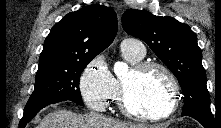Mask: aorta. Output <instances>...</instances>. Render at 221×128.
I'll return each mask as SVG.
<instances>
[{"label":"aorta","instance_id":"aorta-1","mask_svg":"<svg viewBox=\"0 0 221 128\" xmlns=\"http://www.w3.org/2000/svg\"><path fill=\"white\" fill-rule=\"evenodd\" d=\"M128 72V65L124 62H116L114 65V73L121 77L123 75H126Z\"/></svg>","mask_w":221,"mask_h":128}]
</instances>
